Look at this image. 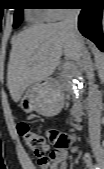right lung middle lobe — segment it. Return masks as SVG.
<instances>
[{"mask_svg": "<svg viewBox=\"0 0 104 169\" xmlns=\"http://www.w3.org/2000/svg\"><path fill=\"white\" fill-rule=\"evenodd\" d=\"M22 8H16L15 15H14V24L13 27L16 28L20 25L22 19Z\"/></svg>", "mask_w": 104, "mask_h": 169, "instance_id": "obj_1", "label": "right lung middle lobe"}]
</instances>
